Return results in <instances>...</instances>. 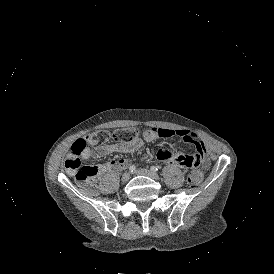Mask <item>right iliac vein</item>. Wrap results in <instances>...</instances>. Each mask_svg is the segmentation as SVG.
I'll list each match as a JSON object with an SVG mask.
<instances>
[{"instance_id":"right-iliac-vein-1","label":"right iliac vein","mask_w":274,"mask_h":274,"mask_svg":"<svg viewBox=\"0 0 274 274\" xmlns=\"http://www.w3.org/2000/svg\"><path fill=\"white\" fill-rule=\"evenodd\" d=\"M129 178H130V174H129L128 172H126V173H124V174L122 175L121 180H122L123 182H127V181L129 180Z\"/></svg>"}]
</instances>
